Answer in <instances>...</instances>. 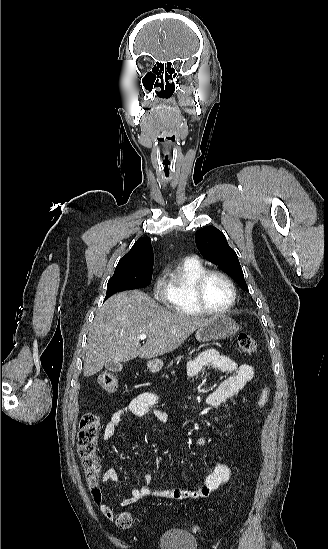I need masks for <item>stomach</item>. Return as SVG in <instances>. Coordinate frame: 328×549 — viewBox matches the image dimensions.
I'll return each mask as SVG.
<instances>
[{
  "label": "stomach",
  "mask_w": 328,
  "mask_h": 549,
  "mask_svg": "<svg viewBox=\"0 0 328 549\" xmlns=\"http://www.w3.org/2000/svg\"><path fill=\"white\" fill-rule=\"evenodd\" d=\"M237 331H239V325L234 319L227 315H216V317H211L204 327L197 329L195 337L199 343H205V341H215V339H226V337L235 335ZM163 365L161 359H152V361H148L147 369L150 373H159Z\"/></svg>",
  "instance_id": "stomach-1"
}]
</instances>
